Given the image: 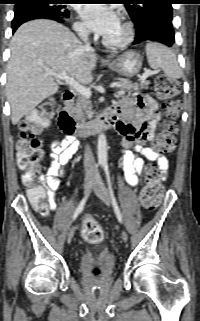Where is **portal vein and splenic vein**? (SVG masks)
I'll list each match as a JSON object with an SVG mask.
<instances>
[{"instance_id": "portal-vein-and-splenic-vein-1", "label": "portal vein and splenic vein", "mask_w": 200, "mask_h": 321, "mask_svg": "<svg viewBox=\"0 0 200 321\" xmlns=\"http://www.w3.org/2000/svg\"><path fill=\"white\" fill-rule=\"evenodd\" d=\"M156 71L153 70H146L145 73L140 77L141 80H145L148 76L153 75ZM48 75H51L57 79H60L64 81L67 85H69L71 88L76 90L80 95L84 97H91V90L89 88L84 87L79 82H77L73 77L69 76L67 73H55L51 71H46ZM119 83L114 82L110 84L111 88L118 87Z\"/></svg>"}]
</instances>
